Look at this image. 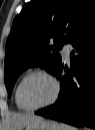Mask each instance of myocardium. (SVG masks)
I'll list each match as a JSON object with an SVG mask.
<instances>
[{"label":"myocardium","mask_w":95,"mask_h":130,"mask_svg":"<svg viewBox=\"0 0 95 130\" xmlns=\"http://www.w3.org/2000/svg\"><path fill=\"white\" fill-rule=\"evenodd\" d=\"M35 75H42V76H45L47 77L53 84V87H54V91H53V95L52 97L44 104L42 105H39V106H36V107H31V106H28L26 105L23 101H22V98H21V90H22V87L24 85V83L32 76H35ZM59 92H60V83L58 81V79L50 72L46 71V70H42V69H38V70H34L30 73H28L19 83L18 87H17V91H16V99H17V102L18 104L21 106V108H23L24 110H27V111H37L39 109H42L44 107H47L51 104H53L57 98H58V95H59Z\"/></svg>","instance_id":"obj_1"}]
</instances>
